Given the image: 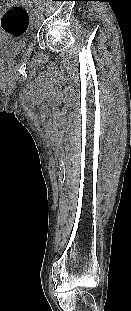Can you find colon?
I'll return each instance as SVG.
<instances>
[{"label": "colon", "instance_id": "obj_1", "mask_svg": "<svg viewBox=\"0 0 131 311\" xmlns=\"http://www.w3.org/2000/svg\"><path fill=\"white\" fill-rule=\"evenodd\" d=\"M0 25L2 30L9 35H23L29 27L27 10L21 6L9 8L2 15Z\"/></svg>", "mask_w": 131, "mask_h": 311}]
</instances>
